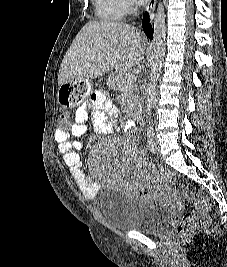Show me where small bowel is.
<instances>
[{
    "instance_id": "1",
    "label": "small bowel",
    "mask_w": 227,
    "mask_h": 267,
    "mask_svg": "<svg viewBox=\"0 0 227 267\" xmlns=\"http://www.w3.org/2000/svg\"><path fill=\"white\" fill-rule=\"evenodd\" d=\"M116 107L108 100L107 95L99 92L91 100L78 107L75 111V122L70 130H59L55 132V141L64 157V161L70 170V174L76 182L82 194L89 199L94 198L98 193V184L89 177L83 170V164L78 154L82 144L79 138L87 130V121L90 117L94 119V127L101 133H110L116 128L114 121L110 118L117 116ZM135 127L133 120L125 123L124 129L129 131ZM155 189L149 185H141L137 194L141 197L150 196Z\"/></svg>"
}]
</instances>
